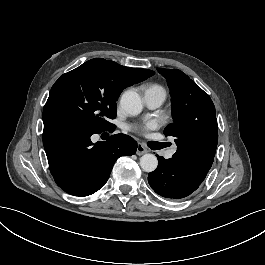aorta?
Masks as SVG:
<instances>
[{
  "mask_svg": "<svg viewBox=\"0 0 265 265\" xmlns=\"http://www.w3.org/2000/svg\"><path fill=\"white\" fill-rule=\"evenodd\" d=\"M120 105L128 114L133 116L140 114L143 109L139 94L132 90L124 92ZM140 166L145 172H153L158 166L157 157L153 154H144L140 158Z\"/></svg>",
  "mask_w": 265,
  "mask_h": 265,
  "instance_id": "762f6f07",
  "label": "aorta"
}]
</instances>
